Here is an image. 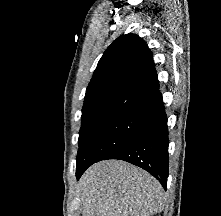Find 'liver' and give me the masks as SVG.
I'll list each match as a JSON object with an SVG mask.
<instances>
[{
  "label": "liver",
  "mask_w": 221,
  "mask_h": 216,
  "mask_svg": "<svg viewBox=\"0 0 221 216\" xmlns=\"http://www.w3.org/2000/svg\"><path fill=\"white\" fill-rule=\"evenodd\" d=\"M77 195L82 216H151L166 201L157 179L119 160L92 165L81 177Z\"/></svg>",
  "instance_id": "obj_1"
}]
</instances>
